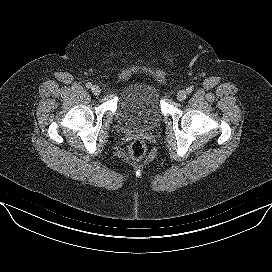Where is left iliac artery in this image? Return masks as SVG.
<instances>
[{"instance_id": "obj_1", "label": "left iliac artery", "mask_w": 272, "mask_h": 272, "mask_svg": "<svg viewBox=\"0 0 272 272\" xmlns=\"http://www.w3.org/2000/svg\"><path fill=\"white\" fill-rule=\"evenodd\" d=\"M186 91H187L188 94H190V93H192L193 88L190 86V87H188V88L186 89Z\"/></svg>"}]
</instances>
